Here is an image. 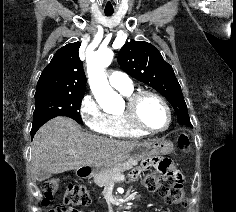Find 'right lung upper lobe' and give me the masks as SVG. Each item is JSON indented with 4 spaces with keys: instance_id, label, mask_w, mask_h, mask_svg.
I'll return each instance as SVG.
<instances>
[{
    "instance_id": "cb5924a9",
    "label": "right lung upper lobe",
    "mask_w": 236,
    "mask_h": 212,
    "mask_svg": "<svg viewBox=\"0 0 236 212\" xmlns=\"http://www.w3.org/2000/svg\"><path fill=\"white\" fill-rule=\"evenodd\" d=\"M80 42L60 48L42 71L35 97L49 94H84L86 77L79 59Z\"/></svg>"
}]
</instances>
